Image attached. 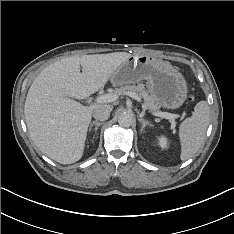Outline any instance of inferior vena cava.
Here are the masks:
<instances>
[{"label":"inferior vena cava","mask_w":234,"mask_h":234,"mask_svg":"<svg viewBox=\"0 0 234 234\" xmlns=\"http://www.w3.org/2000/svg\"><path fill=\"white\" fill-rule=\"evenodd\" d=\"M110 116V109L104 106L97 107L93 111V117L99 121H105Z\"/></svg>","instance_id":"1"}]
</instances>
